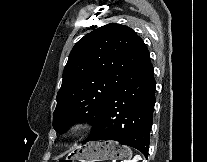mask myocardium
Segmentation results:
<instances>
[{
  "label": "myocardium",
  "mask_w": 207,
  "mask_h": 162,
  "mask_svg": "<svg viewBox=\"0 0 207 162\" xmlns=\"http://www.w3.org/2000/svg\"><path fill=\"white\" fill-rule=\"evenodd\" d=\"M88 127V123L86 121H77L69 126L68 134L69 135H78L84 132Z\"/></svg>",
  "instance_id": "myocardium-1"
}]
</instances>
